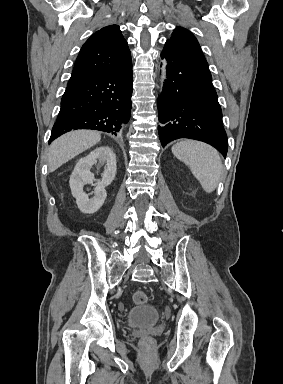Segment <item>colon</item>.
<instances>
[{
  "mask_svg": "<svg viewBox=\"0 0 283 384\" xmlns=\"http://www.w3.org/2000/svg\"><path fill=\"white\" fill-rule=\"evenodd\" d=\"M132 299H133V302L137 305L145 304L148 301V297H147L146 293L144 291H141V290L135 291L133 293ZM151 343H152V341L150 338L142 339V344L144 346H149Z\"/></svg>",
  "mask_w": 283,
  "mask_h": 384,
  "instance_id": "1",
  "label": "colon"
}]
</instances>
